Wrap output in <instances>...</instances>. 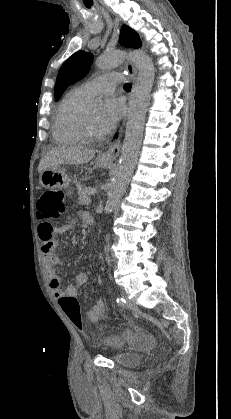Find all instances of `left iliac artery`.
<instances>
[{"mask_svg": "<svg viewBox=\"0 0 231 419\" xmlns=\"http://www.w3.org/2000/svg\"><path fill=\"white\" fill-rule=\"evenodd\" d=\"M116 302L118 303V305H120V306H124V305H125V303H126V300H125L124 298H122V297H118V298L116 299Z\"/></svg>", "mask_w": 231, "mask_h": 419, "instance_id": "left-iliac-artery-1", "label": "left iliac artery"}]
</instances>
